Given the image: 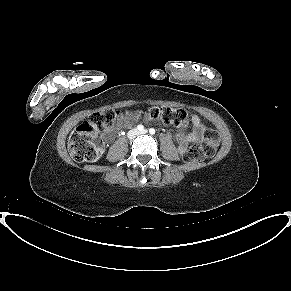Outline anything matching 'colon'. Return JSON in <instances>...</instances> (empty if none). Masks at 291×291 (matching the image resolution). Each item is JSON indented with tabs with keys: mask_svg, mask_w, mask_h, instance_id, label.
<instances>
[{
	"mask_svg": "<svg viewBox=\"0 0 291 291\" xmlns=\"http://www.w3.org/2000/svg\"><path fill=\"white\" fill-rule=\"evenodd\" d=\"M137 112L135 116H139ZM122 116L115 109H105L93 113L81 123L70 135L68 149L70 156L77 162H95L101 155L100 132L111 129ZM147 116L169 125H181L188 119V113L183 109L153 106L148 109ZM220 141V136L214 129L206 130L203 140L198 145L191 146L184 155L187 163L202 161L211 157Z\"/></svg>",
	"mask_w": 291,
	"mask_h": 291,
	"instance_id": "obj_1",
	"label": "colon"
}]
</instances>
